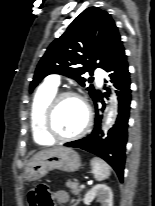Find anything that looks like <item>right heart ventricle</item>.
Here are the masks:
<instances>
[{
	"label": "right heart ventricle",
	"instance_id": "e07e8e85",
	"mask_svg": "<svg viewBox=\"0 0 155 206\" xmlns=\"http://www.w3.org/2000/svg\"><path fill=\"white\" fill-rule=\"evenodd\" d=\"M57 93V87L44 83L36 92L30 109V124L34 141L39 145H51V139L44 130L43 115L49 101Z\"/></svg>",
	"mask_w": 155,
	"mask_h": 206
}]
</instances>
